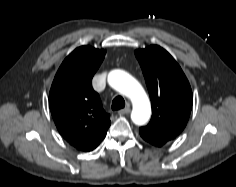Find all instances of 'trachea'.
I'll return each instance as SVG.
<instances>
[{
    "mask_svg": "<svg viewBox=\"0 0 236 187\" xmlns=\"http://www.w3.org/2000/svg\"><path fill=\"white\" fill-rule=\"evenodd\" d=\"M125 107V100L122 96H116L113 101L111 108L112 110H119Z\"/></svg>",
    "mask_w": 236,
    "mask_h": 187,
    "instance_id": "obj_1",
    "label": "trachea"
}]
</instances>
